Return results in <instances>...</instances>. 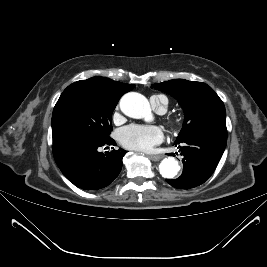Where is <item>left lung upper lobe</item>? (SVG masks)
Returning a JSON list of instances; mask_svg holds the SVG:
<instances>
[{
  "label": "left lung upper lobe",
  "instance_id": "obj_1",
  "mask_svg": "<svg viewBox=\"0 0 267 267\" xmlns=\"http://www.w3.org/2000/svg\"><path fill=\"white\" fill-rule=\"evenodd\" d=\"M152 88L173 96L184 110L185 121L176 142L206 133L227 135L224 104L207 84L175 79L152 84Z\"/></svg>",
  "mask_w": 267,
  "mask_h": 267
}]
</instances>
